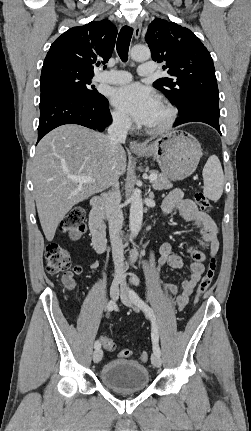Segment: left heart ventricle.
Returning a JSON list of instances; mask_svg holds the SVG:
<instances>
[{
	"mask_svg": "<svg viewBox=\"0 0 251 431\" xmlns=\"http://www.w3.org/2000/svg\"><path fill=\"white\" fill-rule=\"evenodd\" d=\"M166 117V111L165 109L158 104L156 109L154 110L149 122L146 124L147 126H155L161 123L164 118Z\"/></svg>",
	"mask_w": 251,
	"mask_h": 431,
	"instance_id": "1",
	"label": "left heart ventricle"
}]
</instances>
